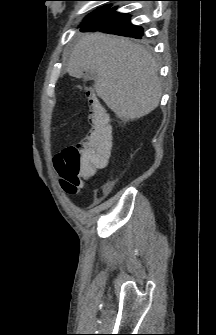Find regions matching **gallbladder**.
I'll use <instances>...</instances> for the list:
<instances>
[{
  "instance_id": "obj_1",
  "label": "gallbladder",
  "mask_w": 216,
  "mask_h": 335,
  "mask_svg": "<svg viewBox=\"0 0 216 335\" xmlns=\"http://www.w3.org/2000/svg\"><path fill=\"white\" fill-rule=\"evenodd\" d=\"M84 78H85V80H91V79L95 78V74L89 73V72H85L84 73Z\"/></svg>"
}]
</instances>
